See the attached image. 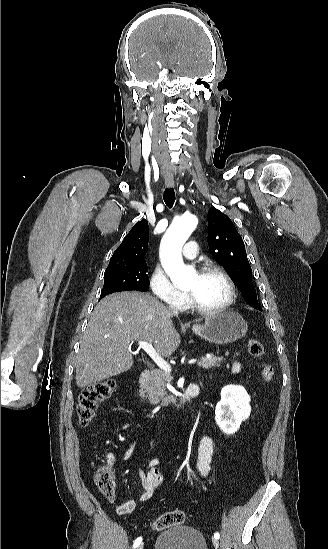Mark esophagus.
Here are the masks:
<instances>
[{
	"label": "esophagus",
	"mask_w": 328,
	"mask_h": 549,
	"mask_svg": "<svg viewBox=\"0 0 328 549\" xmlns=\"http://www.w3.org/2000/svg\"><path fill=\"white\" fill-rule=\"evenodd\" d=\"M165 184L167 187H173L174 186V180H165Z\"/></svg>",
	"instance_id": "34e87169"
}]
</instances>
